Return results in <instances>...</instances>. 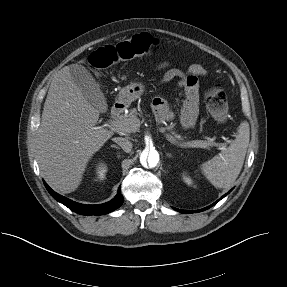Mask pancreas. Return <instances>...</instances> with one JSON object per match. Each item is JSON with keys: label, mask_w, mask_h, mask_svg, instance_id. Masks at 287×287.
I'll list each match as a JSON object with an SVG mask.
<instances>
[{"label": "pancreas", "mask_w": 287, "mask_h": 287, "mask_svg": "<svg viewBox=\"0 0 287 287\" xmlns=\"http://www.w3.org/2000/svg\"><path fill=\"white\" fill-rule=\"evenodd\" d=\"M138 111L136 108L130 109L129 113L127 115H124L120 118V124H121V130L124 133H135L140 130V120L138 119ZM174 124L166 127L168 131L171 132V134H167L166 137L171 143H181L184 142L183 136L180 134H177L175 131H173ZM207 146H212L214 143L211 141H204Z\"/></svg>", "instance_id": "obj_1"}]
</instances>
